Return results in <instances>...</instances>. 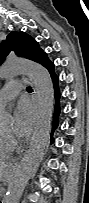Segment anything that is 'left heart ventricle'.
<instances>
[{
	"mask_svg": "<svg viewBox=\"0 0 89 203\" xmlns=\"http://www.w3.org/2000/svg\"><path fill=\"white\" fill-rule=\"evenodd\" d=\"M5 136H7V137L12 136V131L11 130L6 131Z\"/></svg>",
	"mask_w": 89,
	"mask_h": 203,
	"instance_id": "b2bd125f",
	"label": "left heart ventricle"
}]
</instances>
